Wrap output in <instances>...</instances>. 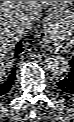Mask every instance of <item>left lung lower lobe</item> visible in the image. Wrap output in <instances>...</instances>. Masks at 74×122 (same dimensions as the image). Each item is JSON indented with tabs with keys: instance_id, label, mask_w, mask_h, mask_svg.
Listing matches in <instances>:
<instances>
[{
	"instance_id": "0a47b994",
	"label": "left lung lower lobe",
	"mask_w": 74,
	"mask_h": 122,
	"mask_svg": "<svg viewBox=\"0 0 74 122\" xmlns=\"http://www.w3.org/2000/svg\"><path fill=\"white\" fill-rule=\"evenodd\" d=\"M71 65V72L62 79L61 81L57 82V88L60 92L66 95H74V56L70 61Z\"/></svg>"
}]
</instances>
